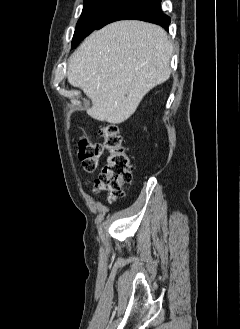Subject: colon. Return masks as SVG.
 I'll return each instance as SVG.
<instances>
[{
  "label": "colon",
  "mask_w": 240,
  "mask_h": 329,
  "mask_svg": "<svg viewBox=\"0 0 240 329\" xmlns=\"http://www.w3.org/2000/svg\"><path fill=\"white\" fill-rule=\"evenodd\" d=\"M102 136V144L91 142L86 137L81 138L78 155L85 171L94 172L102 151L108 152L107 163L96 179L95 189L106 192L109 200L113 201L124 194V185L132 180L131 156L116 125H105Z\"/></svg>",
  "instance_id": "1"
}]
</instances>
